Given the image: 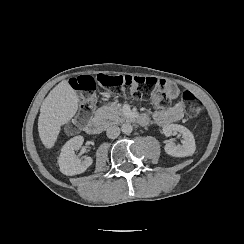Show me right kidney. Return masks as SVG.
<instances>
[{"label":"right kidney","instance_id":"obj_1","mask_svg":"<svg viewBox=\"0 0 244 244\" xmlns=\"http://www.w3.org/2000/svg\"><path fill=\"white\" fill-rule=\"evenodd\" d=\"M84 138L76 136L69 140L62 148L58 163L60 171L66 176H74L84 173L93 164L91 157L81 162L75 155V151L81 147Z\"/></svg>","mask_w":244,"mask_h":244}]
</instances>
